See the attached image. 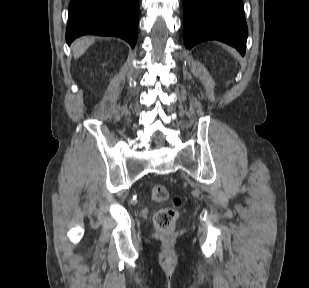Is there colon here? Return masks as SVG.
<instances>
[{
	"label": "colon",
	"instance_id": "1",
	"mask_svg": "<svg viewBox=\"0 0 309 288\" xmlns=\"http://www.w3.org/2000/svg\"><path fill=\"white\" fill-rule=\"evenodd\" d=\"M151 197L154 201L163 202L169 198V192L164 185L156 184L151 189ZM181 205V199L175 196L172 199V206L158 210L154 216L155 227L162 232H170L175 226L178 218V209Z\"/></svg>",
	"mask_w": 309,
	"mask_h": 288
}]
</instances>
